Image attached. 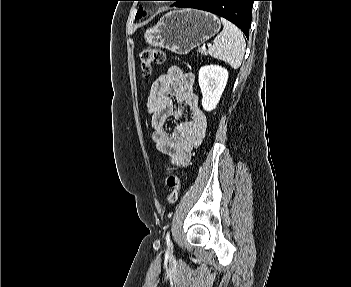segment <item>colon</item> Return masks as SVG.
Masks as SVG:
<instances>
[{"label": "colon", "instance_id": "5ec220e1", "mask_svg": "<svg viewBox=\"0 0 351 287\" xmlns=\"http://www.w3.org/2000/svg\"><path fill=\"white\" fill-rule=\"evenodd\" d=\"M164 60L165 55L161 50L147 48L140 52L141 68L145 76H149L153 67L162 64ZM166 183L168 186L166 200L169 204H174L180 196L181 182L178 175L171 169H168Z\"/></svg>", "mask_w": 351, "mask_h": 287}]
</instances>
